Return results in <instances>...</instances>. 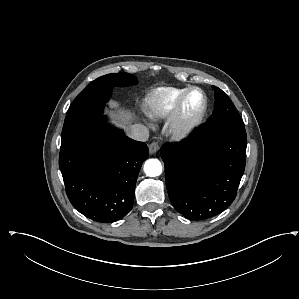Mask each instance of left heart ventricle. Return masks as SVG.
Returning <instances> with one entry per match:
<instances>
[{
	"mask_svg": "<svg viewBox=\"0 0 299 299\" xmlns=\"http://www.w3.org/2000/svg\"><path fill=\"white\" fill-rule=\"evenodd\" d=\"M202 105V97L198 92H193L189 95L185 103V114L192 116L196 114Z\"/></svg>",
	"mask_w": 299,
	"mask_h": 299,
	"instance_id": "obj_1",
	"label": "left heart ventricle"
}]
</instances>
